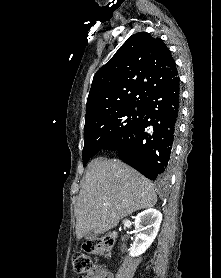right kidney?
<instances>
[{
  "instance_id": "1",
  "label": "right kidney",
  "mask_w": 221,
  "mask_h": 278,
  "mask_svg": "<svg viewBox=\"0 0 221 278\" xmlns=\"http://www.w3.org/2000/svg\"><path fill=\"white\" fill-rule=\"evenodd\" d=\"M161 221V212L153 208L147 209L137 215L135 228L140 232L136 235L130 249L129 255L131 257L143 254L150 247L157 236Z\"/></svg>"
}]
</instances>
